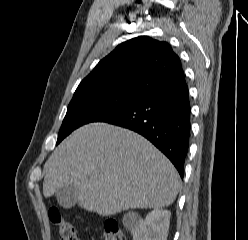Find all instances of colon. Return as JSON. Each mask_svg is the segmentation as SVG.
<instances>
[{
    "label": "colon",
    "instance_id": "1",
    "mask_svg": "<svg viewBox=\"0 0 248 240\" xmlns=\"http://www.w3.org/2000/svg\"><path fill=\"white\" fill-rule=\"evenodd\" d=\"M49 218L58 227L60 240H80L75 225L67 220L59 209L56 207L50 208ZM104 240H126L124 233L115 220H108L105 223Z\"/></svg>",
    "mask_w": 248,
    "mask_h": 240
}]
</instances>
